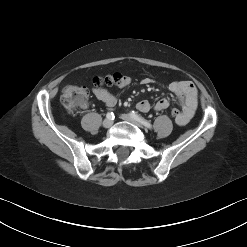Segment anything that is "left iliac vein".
<instances>
[{
	"mask_svg": "<svg viewBox=\"0 0 247 247\" xmlns=\"http://www.w3.org/2000/svg\"><path fill=\"white\" fill-rule=\"evenodd\" d=\"M121 118H122L123 120H125V121L131 122V123H133V124H135V125L141 127V124H140L137 120H135V119H134L131 115H129V114H122V115H121Z\"/></svg>",
	"mask_w": 247,
	"mask_h": 247,
	"instance_id": "obj_1",
	"label": "left iliac vein"
}]
</instances>
